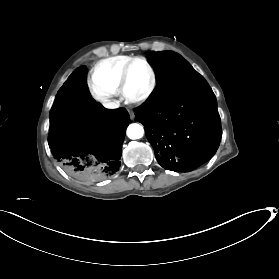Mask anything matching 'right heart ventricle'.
<instances>
[{
  "mask_svg": "<svg viewBox=\"0 0 279 279\" xmlns=\"http://www.w3.org/2000/svg\"><path fill=\"white\" fill-rule=\"evenodd\" d=\"M132 56H113L97 62L91 69V84L99 86L111 95L118 94L121 71Z\"/></svg>",
  "mask_w": 279,
  "mask_h": 279,
  "instance_id": "right-heart-ventricle-1",
  "label": "right heart ventricle"
}]
</instances>
